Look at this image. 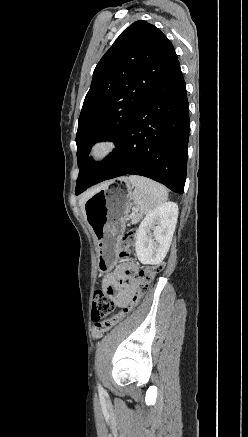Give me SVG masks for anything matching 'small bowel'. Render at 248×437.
I'll list each match as a JSON object with an SVG mask.
<instances>
[{
    "label": "small bowel",
    "mask_w": 248,
    "mask_h": 437,
    "mask_svg": "<svg viewBox=\"0 0 248 437\" xmlns=\"http://www.w3.org/2000/svg\"><path fill=\"white\" fill-rule=\"evenodd\" d=\"M137 272L138 266L135 263H122L103 279L102 289L118 306L126 307L130 304L137 289Z\"/></svg>",
    "instance_id": "c3829d8e"
}]
</instances>
